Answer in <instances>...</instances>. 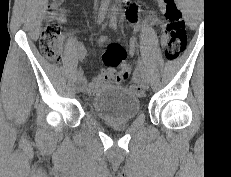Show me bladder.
I'll list each match as a JSON object with an SVG mask.
<instances>
[{
	"label": "bladder",
	"mask_w": 231,
	"mask_h": 177,
	"mask_svg": "<svg viewBox=\"0 0 231 177\" xmlns=\"http://www.w3.org/2000/svg\"><path fill=\"white\" fill-rule=\"evenodd\" d=\"M95 114L106 121L134 118L140 110V101L131 91L118 86L101 88L92 99Z\"/></svg>",
	"instance_id": "31cf9c89"
}]
</instances>
